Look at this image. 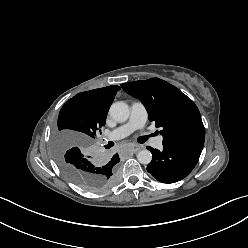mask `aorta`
Masks as SVG:
<instances>
[{"label":"aorta","instance_id":"1","mask_svg":"<svg viewBox=\"0 0 248 248\" xmlns=\"http://www.w3.org/2000/svg\"><path fill=\"white\" fill-rule=\"evenodd\" d=\"M109 114L117 122H125L130 114L129 106L122 101L115 102L111 105ZM137 159L141 164H149L152 160V154L149 150L144 149L138 152Z\"/></svg>","mask_w":248,"mask_h":248}]
</instances>
